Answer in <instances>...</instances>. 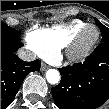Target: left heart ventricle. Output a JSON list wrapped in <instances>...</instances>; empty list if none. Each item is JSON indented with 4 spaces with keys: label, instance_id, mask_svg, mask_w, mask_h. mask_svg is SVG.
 <instances>
[{
    "label": "left heart ventricle",
    "instance_id": "obj_1",
    "mask_svg": "<svg viewBox=\"0 0 109 109\" xmlns=\"http://www.w3.org/2000/svg\"><path fill=\"white\" fill-rule=\"evenodd\" d=\"M96 36V31L93 28H89L85 34L83 35L81 42H80V47L83 48L85 46H87L88 44H90L93 39Z\"/></svg>",
    "mask_w": 109,
    "mask_h": 109
}]
</instances>
